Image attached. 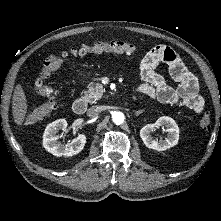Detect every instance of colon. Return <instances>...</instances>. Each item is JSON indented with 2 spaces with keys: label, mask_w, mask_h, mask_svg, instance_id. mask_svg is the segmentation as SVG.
Returning a JSON list of instances; mask_svg holds the SVG:
<instances>
[{
  "label": "colon",
  "mask_w": 221,
  "mask_h": 221,
  "mask_svg": "<svg viewBox=\"0 0 221 221\" xmlns=\"http://www.w3.org/2000/svg\"><path fill=\"white\" fill-rule=\"evenodd\" d=\"M136 51L137 48L134 44L123 40L96 41L90 44H82L77 48L71 49V53L74 55L103 52L124 53L131 55L136 53ZM67 55V52L52 55L44 62L39 73V78L34 83V89L39 95L45 97L46 101L26 117V124H32L42 120L56 108L58 101V90L45 84L43 79L48 78L53 72H55L62 65ZM211 122L212 118L210 114L205 113L200 120V126L203 129L208 130L211 126Z\"/></svg>",
  "instance_id": "5ec220e1"
}]
</instances>
